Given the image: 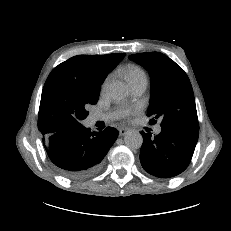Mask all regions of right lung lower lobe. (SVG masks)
Listing matches in <instances>:
<instances>
[{
  "mask_svg": "<svg viewBox=\"0 0 231 231\" xmlns=\"http://www.w3.org/2000/svg\"><path fill=\"white\" fill-rule=\"evenodd\" d=\"M45 150L57 170L70 179H84L98 172L102 161L118 136L107 127L91 131L82 124L41 131Z\"/></svg>",
  "mask_w": 231,
  "mask_h": 231,
  "instance_id": "98d812e1",
  "label": "right lung lower lobe"
}]
</instances>
